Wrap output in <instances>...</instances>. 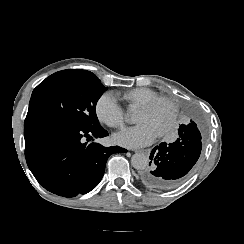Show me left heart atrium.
<instances>
[{
    "mask_svg": "<svg viewBox=\"0 0 244 244\" xmlns=\"http://www.w3.org/2000/svg\"><path fill=\"white\" fill-rule=\"evenodd\" d=\"M158 134L146 124L125 130L114 135L113 140L122 146L137 148L153 142Z\"/></svg>",
    "mask_w": 244,
    "mask_h": 244,
    "instance_id": "1",
    "label": "left heart atrium"
}]
</instances>
